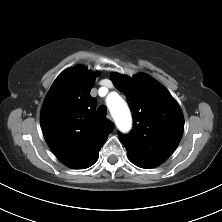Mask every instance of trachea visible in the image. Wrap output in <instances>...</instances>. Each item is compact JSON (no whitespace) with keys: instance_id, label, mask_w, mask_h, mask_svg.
<instances>
[{"instance_id":"3493384b","label":"trachea","mask_w":222,"mask_h":222,"mask_svg":"<svg viewBox=\"0 0 222 222\" xmlns=\"http://www.w3.org/2000/svg\"><path fill=\"white\" fill-rule=\"evenodd\" d=\"M97 111H98L99 115H101V116H106V114H107V108L104 105L99 106Z\"/></svg>"}]
</instances>
